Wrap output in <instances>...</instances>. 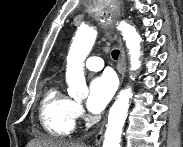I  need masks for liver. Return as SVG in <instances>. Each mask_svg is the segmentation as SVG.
Listing matches in <instances>:
<instances>
[{
  "label": "liver",
  "mask_w": 183,
  "mask_h": 147,
  "mask_svg": "<svg viewBox=\"0 0 183 147\" xmlns=\"http://www.w3.org/2000/svg\"><path fill=\"white\" fill-rule=\"evenodd\" d=\"M27 147H85L83 144L59 140L57 138H36Z\"/></svg>",
  "instance_id": "liver-1"
}]
</instances>
